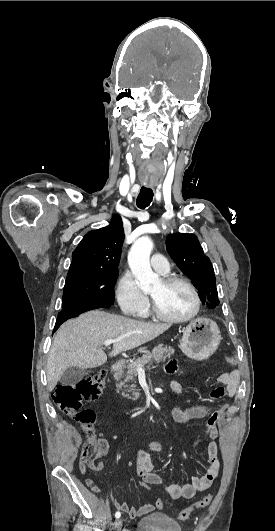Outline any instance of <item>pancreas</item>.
<instances>
[{
    "mask_svg": "<svg viewBox=\"0 0 275 531\" xmlns=\"http://www.w3.org/2000/svg\"><path fill=\"white\" fill-rule=\"evenodd\" d=\"M174 353L175 351L172 347H167V345L160 343L158 347H154L151 353H146V355H143L140 359H136L134 363L119 361V363H117L118 371H115L113 377L116 381H120V383H117L116 387L123 391V397L131 399V401H137V399H139L138 389H136V385H134L138 375L137 369L139 363H151V361H156V363H161V361H163L164 363V361L170 359L171 355H174ZM132 381H134L133 385H128V383H132ZM125 391L126 393H131V395H126Z\"/></svg>",
    "mask_w": 275,
    "mask_h": 531,
    "instance_id": "obj_1",
    "label": "pancreas"
}]
</instances>
